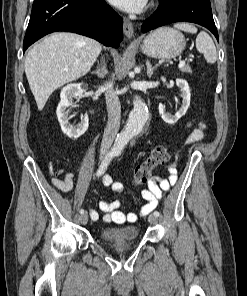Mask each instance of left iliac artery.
Here are the masks:
<instances>
[{"mask_svg": "<svg viewBox=\"0 0 247 296\" xmlns=\"http://www.w3.org/2000/svg\"><path fill=\"white\" fill-rule=\"evenodd\" d=\"M118 155V154H117ZM153 215H155V216H160V213L158 212V211H155L154 213H153Z\"/></svg>", "mask_w": 247, "mask_h": 296, "instance_id": "obj_1", "label": "left iliac artery"}]
</instances>
